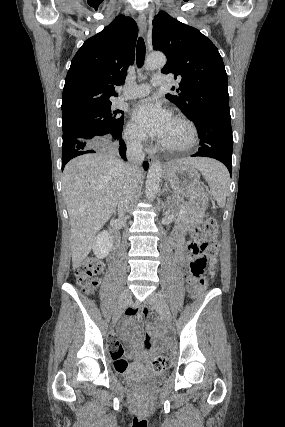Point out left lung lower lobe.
I'll return each instance as SVG.
<instances>
[{"label":"left lung lower lobe","mask_w":285,"mask_h":427,"mask_svg":"<svg viewBox=\"0 0 285 427\" xmlns=\"http://www.w3.org/2000/svg\"><path fill=\"white\" fill-rule=\"evenodd\" d=\"M200 138L199 151L192 157H210L221 161L231 172L233 137L231 116L218 112H204L192 120Z\"/></svg>","instance_id":"obj_1"}]
</instances>
